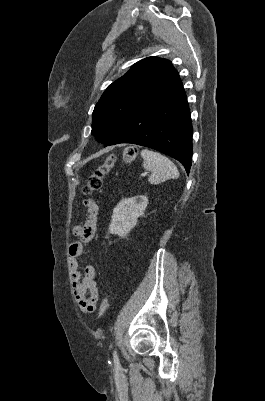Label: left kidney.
Instances as JSON below:
<instances>
[{"instance_id":"obj_1","label":"left kidney","mask_w":265,"mask_h":401,"mask_svg":"<svg viewBox=\"0 0 265 401\" xmlns=\"http://www.w3.org/2000/svg\"><path fill=\"white\" fill-rule=\"evenodd\" d=\"M147 205L148 198L146 194L122 198V201L113 211L109 233L111 235H119V237H127L131 229L137 225L139 217L144 215Z\"/></svg>"}]
</instances>
